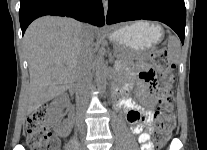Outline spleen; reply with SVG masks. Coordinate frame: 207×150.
Segmentation results:
<instances>
[{
    "instance_id": "spleen-1",
    "label": "spleen",
    "mask_w": 207,
    "mask_h": 150,
    "mask_svg": "<svg viewBox=\"0 0 207 150\" xmlns=\"http://www.w3.org/2000/svg\"><path fill=\"white\" fill-rule=\"evenodd\" d=\"M169 60L176 63L180 57V41L175 36H170L168 39Z\"/></svg>"
}]
</instances>
